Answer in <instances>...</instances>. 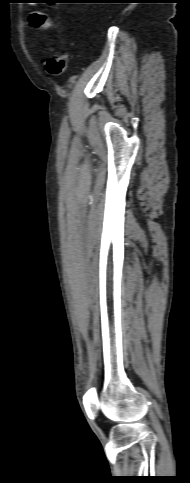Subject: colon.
Wrapping results in <instances>:
<instances>
[{
    "mask_svg": "<svg viewBox=\"0 0 190 483\" xmlns=\"http://www.w3.org/2000/svg\"><path fill=\"white\" fill-rule=\"evenodd\" d=\"M45 70L52 76L63 75L68 68V55L65 51H58L44 62Z\"/></svg>",
    "mask_w": 190,
    "mask_h": 483,
    "instance_id": "1",
    "label": "colon"
}]
</instances>
